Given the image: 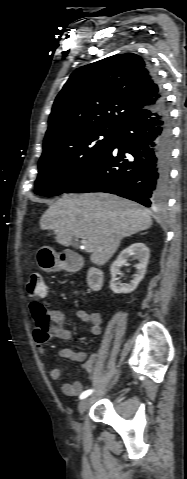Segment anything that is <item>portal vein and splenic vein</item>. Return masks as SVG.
<instances>
[{
	"mask_svg": "<svg viewBox=\"0 0 187 479\" xmlns=\"http://www.w3.org/2000/svg\"><path fill=\"white\" fill-rule=\"evenodd\" d=\"M81 244H82L83 248L86 250V252H92V246H91L90 242H88L87 240L82 239Z\"/></svg>",
	"mask_w": 187,
	"mask_h": 479,
	"instance_id": "portal-vein-and-splenic-vein-1",
	"label": "portal vein and splenic vein"
}]
</instances>
